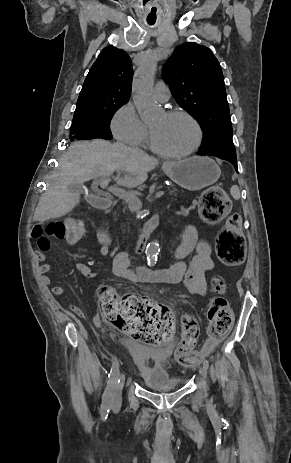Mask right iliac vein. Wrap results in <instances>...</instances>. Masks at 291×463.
<instances>
[{
    "label": "right iliac vein",
    "mask_w": 291,
    "mask_h": 463,
    "mask_svg": "<svg viewBox=\"0 0 291 463\" xmlns=\"http://www.w3.org/2000/svg\"><path fill=\"white\" fill-rule=\"evenodd\" d=\"M118 383L116 384L113 392V409L117 410L120 408L121 399H122V389L125 383V374L120 373L118 376Z\"/></svg>",
    "instance_id": "obj_1"
}]
</instances>
